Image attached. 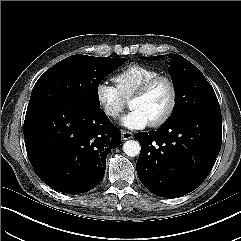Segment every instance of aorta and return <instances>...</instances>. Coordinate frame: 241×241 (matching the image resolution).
Listing matches in <instances>:
<instances>
[{
  "label": "aorta",
  "mask_w": 241,
  "mask_h": 241,
  "mask_svg": "<svg viewBox=\"0 0 241 241\" xmlns=\"http://www.w3.org/2000/svg\"><path fill=\"white\" fill-rule=\"evenodd\" d=\"M123 151L130 157L137 156L141 151V146L136 140H128L123 145Z\"/></svg>",
  "instance_id": "aorta-1"
}]
</instances>
